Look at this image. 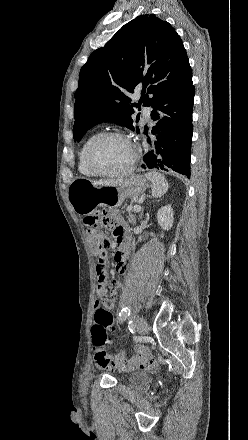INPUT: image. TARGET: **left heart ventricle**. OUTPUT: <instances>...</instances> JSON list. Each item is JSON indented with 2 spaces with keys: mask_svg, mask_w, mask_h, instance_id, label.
<instances>
[{
  "mask_svg": "<svg viewBox=\"0 0 248 440\" xmlns=\"http://www.w3.org/2000/svg\"><path fill=\"white\" fill-rule=\"evenodd\" d=\"M131 158L132 149L129 142L117 137L103 140L93 153L95 167L105 172H116L124 169Z\"/></svg>",
  "mask_w": 248,
  "mask_h": 440,
  "instance_id": "1",
  "label": "left heart ventricle"
}]
</instances>
